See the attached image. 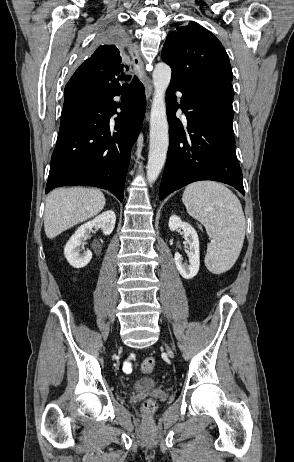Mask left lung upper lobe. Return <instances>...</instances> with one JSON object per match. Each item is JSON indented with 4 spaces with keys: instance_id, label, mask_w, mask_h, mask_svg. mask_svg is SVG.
<instances>
[{
    "instance_id": "left-lung-upper-lobe-1",
    "label": "left lung upper lobe",
    "mask_w": 294,
    "mask_h": 462,
    "mask_svg": "<svg viewBox=\"0 0 294 462\" xmlns=\"http://www.w3.org/2000/svg\"><path fill=\"white\" fill-rule=\"evenodd\" d=\"M162 59L172 68L171 82L183 88L227 85L232 88V69L221 42L196 22L168 34Z\"/></svg>"
}]
</instances>
